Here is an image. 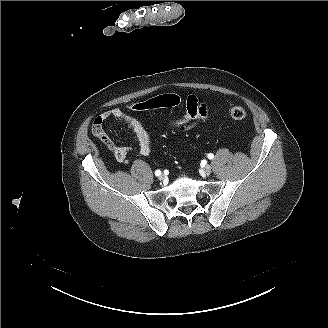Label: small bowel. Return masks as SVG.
Wrapping results in <instances>:
<instances>
[{"mask_svg": "<svg viewBox=\"0 0 328 328\" xmlns=\"http://www.w3.org/2000/svg\"><path fill=\"white\" fill-rule=\"evenodd\" d=\"M209 109L207 105L190 95L186 98L185 109L182 114L168 123L167 128L178 132H187L192 130L199 124H203L208 120ZM99 118L102 121L114 118L123 121L135 135L139 143V152L143 156H147L151 150V135L138 118L130 113L114 108L103 112ZM115 159L122 163L126 160L128 153L132 150L130 147H112Z\"/></svg>", "mask_w": 328, "mask_h": 328, "instance_id": "c3829d8e", "label": "small bowel"}]
</instances>
